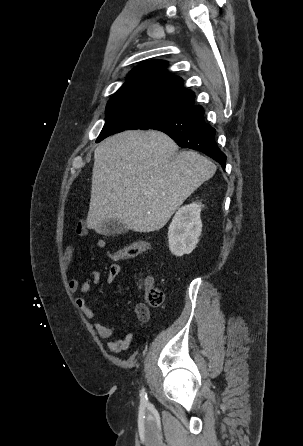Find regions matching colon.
Wrapping results in <instances>:
<instances>
[{
  "label": "colon",
  "instance_id": "5ec220e1",
  "mask_svg": "<svg viewBox=\"0 0 303 446\" xmlns=\"http://www.w3.org/2000/svg\"><path fill=\"white\" fill-rule=\"evenodd\" d=\"M151 249V244L146 240H138L131 244L115 251L110 255L114 261H123L135 258L138 255L147 252ZM164 298L163 292L157 287H148L146 291V300L150 306H158L162 303Z\"/></svg>",
  "mask_w": 303,
  "mask_h": 446
}]
</instances>
